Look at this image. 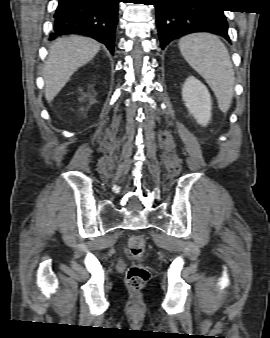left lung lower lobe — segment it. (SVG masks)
I'll use <instances>...</instances> for the list:
<instances>
[{"instance_id": "left-lung-lower-lobe-1", "label": "left lung lower lobe", "mask_w": 270, "mask_h": 338, "mask_svg": "<svg viewBox=\"0 0 270 338\" xmlns=\"http://www.w3.org/2000/svg\"><path fill=\"white\" fill-rule=\"evenodd\" d=\"M162 49L174 39L194 32H210L230 42L224 11L216 0H154Z\"/></svg>"}]
</instances>
